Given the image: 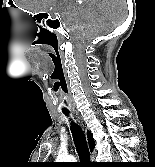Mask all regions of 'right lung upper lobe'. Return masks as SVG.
Listing matches in <instances>:
<instances>
[{
  "label": "right lung upper lobe",
  "instance_id": "1",
  "mask_svg": "<svg viewBox=\"0 0 155 167\" xmlns=\"http://www.w3.org/2000/svg\"><path fill=\"white\" fill-rule=\"evenodd\" d=\"M88 142H89V146H90V150L92 151L93 150V147L95 145L94 143V139H93V136L90 132H88Z\"/></svg>",
  "mask_w": 155,
  "mask_h": 167
}]
</instances>
